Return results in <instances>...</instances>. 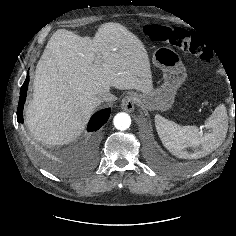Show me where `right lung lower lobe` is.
<instances>
[{"label": "right lung lower lobe", "mask_w": 236, "mask_h": 236, "mask_svg": "<svg viewBox=\"0 0 236 236\" xmlns=\"http://www.w3.org/2000/svg\"><path fill=\"white\" fill-rule=\"evenodd\" d=\"M28 83H29V73H27L26 80L23 83L21 87V91H20V99H19V104L17 108V120L20 123H23V108H24ZM109 116H110V108H107V109L98 111L91 117L87 126V131L91 133L89 141L92 140V137L95 134V132L107 122V120L109 119Z\"/></svg>", "instance_id": "obj_1"}]
</instances>
